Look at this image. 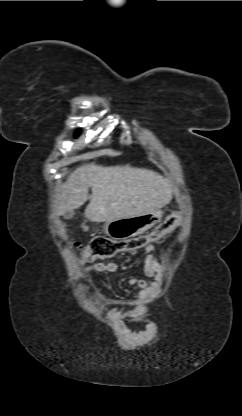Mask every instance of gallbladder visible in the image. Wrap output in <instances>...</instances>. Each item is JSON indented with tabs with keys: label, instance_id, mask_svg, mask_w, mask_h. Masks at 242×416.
I'll use <instances>...</instances> for the list:
<instances>
[{
	"label": "gallbladder",
	"instance_id": "obj_1",
	"mask_svg": "<svg viewBox=\"0 0 242 416\" xmlns=\"http://www.w3.org/2000/svg\"><path fill=\"white\" fill-rule=\"evenodd\" d=\"M74 215H75V212L74 211H66L63 214V217H64V219H71V218L74 217Z\"/></svg>",
	"mask_w": 242,
	"mask_h": 416
}]
</instances>
